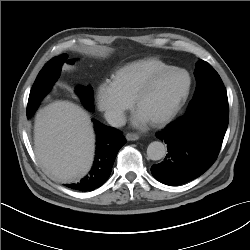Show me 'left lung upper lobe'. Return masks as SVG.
Instances as JSON below:
<instances>
[{"instance_id":"1","label":"left lung upper lobe","mask_w":250,"mask_h":250,"mask_svg":"<svg viewBox=\"0 0 250 250\" xmlns=\"http://www.w3.org/2000/svg\"><path fill=\"white\" fill-rule=\"evenodd\" d=\"M194 75L196 77V89L190 104L208 92L224 88V84L218 73L209 63L203 60L195 65Z\"/></svg>"}]
</instances>
